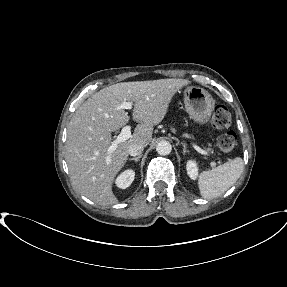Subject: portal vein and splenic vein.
Listing matches in <instances>:
<instances>
[{"mask_svg": "<svg viewBox=\"0 0 287 287\" xmlns=\"http://www.w3.org/2000/svg\"><path fill=\"white\" fill-rule=\"evenodd\" d=\"M133 107L132 102H122L121 105L117 107V109H128L131 110ZM131 137V126L127 125L122 128L121 133L113 140L112 145L109 147L108 152L111 153L114 150H116L118 144L128 140ZM195 150H197L199 153L203 155H208V152L206 150H203L202 148L198 147L197 145H193ZM212 166H215V163L211 164Z\"/></svg>", "mask_w": 287, "mask_h": 287, "instance_id": "portal-vein-and-splenic-vein-1", "label": "portal vein and splenic vein"}]
</instances>
